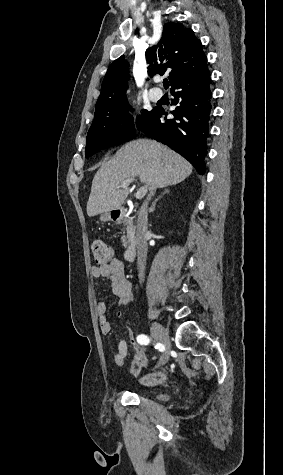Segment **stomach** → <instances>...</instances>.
Returning <instances> with one entry per match:
<instances>
[{"label":"stomach","mask_w":283,"mask_h":475,"mask_svg":"<svg viewBox=\"0 0 283 475\" xmlns=\"http://www.w3.org/2000/svg\"><path fill=\"white\" fill-rule=\"evenodd\" d=\"M100 222H110V214L109 212H103L100 216Z\"/></svg>","instance_id":"obj_1"}]
</instances>
